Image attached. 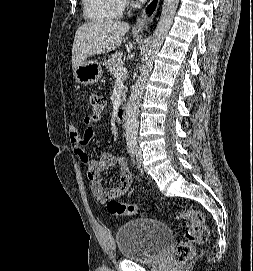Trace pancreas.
Returning <instances> with one entry per match:
<instances>
[{
	"instance_id": "cf45deb5",
	"label": "pancreas",
	"mask_w": 253,
	"mask_h": 271,
	"mask_svg": "<svg viewBox=\"0 0 253 271\" xmlns=\"http://www.w3.org/2000/svg\"><path fill=\"white\" fill-rule=\"evenodd\" d=\"M122 53H115L111 56H109L106 60H104L103 65L106 67L108 72L112 73L114 76H116V68L122 67ZM125 95V91L123 92V96Z\"/></svg>"
}]
</instances>
